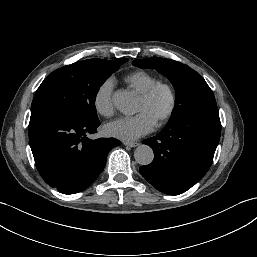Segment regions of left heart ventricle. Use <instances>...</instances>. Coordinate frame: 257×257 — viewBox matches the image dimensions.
<instances>
[{
    "label": "left heart ventricle",
    "instance_id": "b2bd125f",
    "mask_svg": "<svg viewBox=\"0 0 257 257\" xmlns=\"http://www.w3.org/2000/svg\"><path fill=\"white\" fill-rule=\"evenodd\" d=\"M169 105V98L166 92L160 91L155 97L148 101L144 102L141 99H138L135 112L147 113L156 123L166 112Z\"/></svg>",
    "mask_w": 257,
    "mask_h": 257
}]
</instances>
